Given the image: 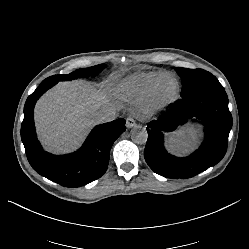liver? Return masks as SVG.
<instances>
[{
	"mask_svg": "<svg viewBox=\"0 0 249 249\" xmlns=\"http://www.w3.org/2000/svg\"><path fill=\"white\" fill-rule=\"evenodd\" d=\"M110 106L102 89L89 82L60 83L36 106L35 120L40 138L55 152L74 148L97 122L95 113ZM196 137L190 127L179 129L171 137V146L184 153L196 144Z\"/></svg>",
	"mask_w": 249,
	"mask_h": 249,
	"instance_id": "6515ba94",
	"label": "liver"
}]
</instances>
